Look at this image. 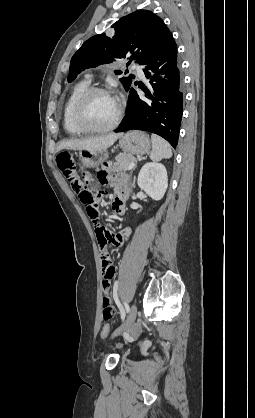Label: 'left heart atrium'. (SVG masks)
<instances>
[{
    "label": "left heart atrium",
    "mask_w": 255,
    "mask_h": 418,
    "mask_svg": "<svg viewBox=\"0 0 255 418\" xmlns=\"http://www.w3.org/2000/svg\"><path fill=\"white\" fill-rule=\"evenodd\" d=\"M112 98H113L114 102H115L116 104H118V99H117L116 97H112Z\"/></svg>",
    "instance_id": "obj_1"
}]
</instances>
